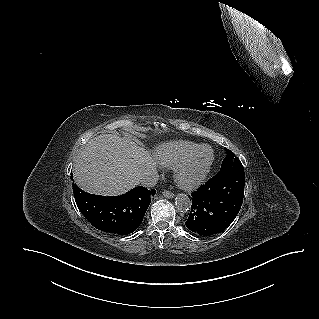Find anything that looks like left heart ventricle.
Wrapping results in <instances>:
<instances>
[{
  "instance_id": "left-heart-ventricle-1",
  "label": "left heart ventricle",
  "mask_w": 319,
  "mask_h": 319,
  "mask_svg": "<svg viewBox=\"0 0 319 319\" xmlns=\"http://www.w3.org/2000/svg\"><path fill=\"white\" fill-rule=\"evenodd\" d=\"M211 158V151L208 148L202 149L194 161L192 162L188 175L190 177H194L200 173V171L203 169V167L207 164V162Z\"/></svg>"
}]
</instances>
